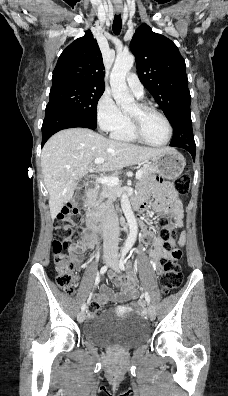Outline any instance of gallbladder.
Wrapping results in <instances>:
<instances>
[{
	"instance_id": "gallbladder-1",
	"label": "gallbladder",
	"mask_w": 228,
	"mask_h": 396,
	"mask_svg": "<svg viewBox=\"0 0 228 396\" xmlns=\"http://www.w3.org/2000/svg\"><path fill=\"white\" fill-rule=\"evenodd\" d=\"M78 190H81L82 188H83V185L82 184H77V187H76Z\"/></svg>"
}]
</instances>
